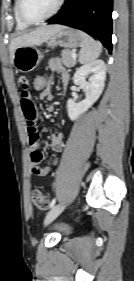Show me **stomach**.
Segmentation results:
<instances>
[{
	"label": "stomach",
	"instance_id": "obj_1",
	"mask_svg": "<svg viewBox=\"0 0 134 281\" xmlns=\"http://www.w3.org/2000/svg\"><path fill=\"white\" fill-rule=\"evenodd\" d=\"M81 43V32L65 26L46 41L49 47L65 48H76ZM42 57L41 51L36 46L19 47L13 53L12 64L17 71L27 73L39 65Z\"/></svg>",
	"mask_w": 134,
	"mask_h": 281
}]
</instances>
